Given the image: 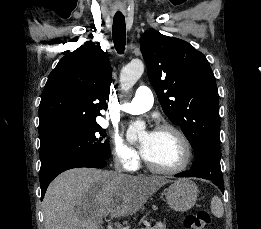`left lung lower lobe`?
Here are the masks:
<instances>
[{
	"mask_svg": "<svg viewBox=\"0 0 261 229\" xmlns=\"http://www.w3.org/2000/svg\"><path fill=\"white\" fill-rule=\"evenodd\" d=\"M195 162L190 171L175 175V177H199L211 180L224 193L223 175L219 157L220 149L217 146H205L195 154Z\"/></svg>",
	"mask_w": 261,
	"mask_h": 229,
	"instance_id": "0a47b994",
	"label": "left lung lower lobe"
}]
</instances>
